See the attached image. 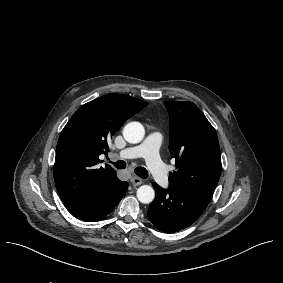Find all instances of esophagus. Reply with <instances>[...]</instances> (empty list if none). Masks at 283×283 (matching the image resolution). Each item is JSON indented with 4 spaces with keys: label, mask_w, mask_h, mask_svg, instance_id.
I'll list each match as a JSON object with an SVG mask.
<instances>
[{
    "label": "esophagus",
    "mask_w": 283,
    "mask_h": 283,
    "mask_svg": "<svg viewBox=\"0 0 283 283\" xmlns=\"http://www.w3.org/2000/svg\"><path fill=\"white\" fill-rule=\"evenodd\" d=\"M131 183L135 186L141 185L143 183V180L138 177H132L131 178Z\"/></svg>",
    "instance_id": "34e87169"
}]
</instances>
